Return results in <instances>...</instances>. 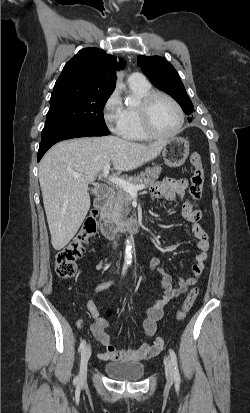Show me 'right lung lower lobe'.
I'll return each instance as SVG.
<instances>
[{"instance_id": "1", "label": "right lung lower lobe", "mask_w": 250, "mask_h": 413, "mask_svg": "<svg viewBox=\"0 0 250 413\" xmlns=\"http://www.w3.org/2000/svg\"><path fill=\"white\" fill-rule=\"evenodd\" d=\"M109 134V131L85 127L71 128L60 131L59 133L41 141L38 151V161H40L45 152L56 142L77 137L105 136Z\"/></svg>"}]
</instances>
